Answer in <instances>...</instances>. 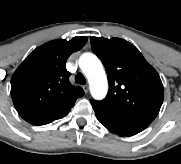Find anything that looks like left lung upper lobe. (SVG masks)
<instances>
[{
  "label": "left lung upper lobe",
  "instance_id": "5c2ea615",
  "mask_svg": "<svg viewBox=\"0 0 181 164\" xmlns=\"http://www.w3.org/2000/svg\"><path fill=\"white\" fill-rule=\"evenodd\" d=\"M91 47L104 64L109 81L106 98L91 100V104L150 124L163 103V85L156 70L125 40L92 37Z\"/></svg>",
  "mask_w": 181,
  "mask_h": 164
}]
</instances>
